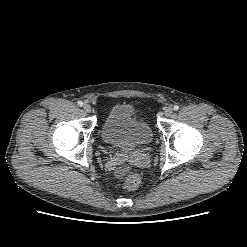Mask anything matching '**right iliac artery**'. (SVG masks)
Returning <instances> with one entry per match:
<instances>
[{
	"instance_id": "1",
	"label": "right iliac artery",
	"mask_w": 247,
	"mask_h": 247,
	"mask_svg": "<svg viewBox=\"0 0 247 247\" xmlns=\"http://www.w3.org/2000/svg\"><path fill=\"white\" fill-rule=\"evenodd\" d=\"M78 105L79 106H83V102L82 101H78Z\"/></svg>"
}]
</instances>
